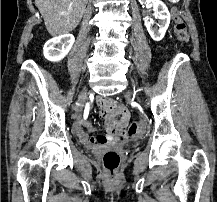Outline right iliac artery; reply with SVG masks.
Segmentation results:
<instances>
[{"mask_svg":"<svg viewBox=\"0 0 217 202\" xmlns=\"http://www.w3.org/2000/svg\"><path fill=\"white\" fill-rule=\"evenodd\" d=\"M91 103L88 101L86 103V106H85V109H84V112H83V119L85 120L88 116H89V113H90V109H91Z\"/></svg>","mask_w":217,"mask_h":202,"instance_id":"82829eb1","label":"right iliac artery"}]
</instances>
